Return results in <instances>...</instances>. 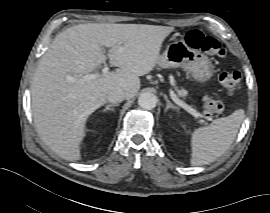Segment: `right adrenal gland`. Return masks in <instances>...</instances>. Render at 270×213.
Listing matches in <instances>:
<instances>
[{
	"label": "right adrenal gland",
	"instance_id": "2a0ac1e0",
	"mask_svg": "<svg viewBox=\"0 0 270 213\" xmlns=\"http://www.w3.org/2000/svg\"><path fill=\"white\" fill-rule=\"evenodd\" d=\"M118 106L117 104H109L103 109V113L107 111H114L113 107Z\"/></svg>",
	"mask_w": 270,
	"mask_h": 213
}]
</instances>
